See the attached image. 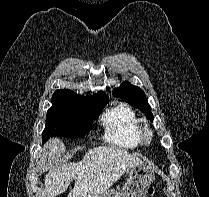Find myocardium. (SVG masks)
Here are the masks:
<instances>
[{"label": "myocardium", "mask_w": 209, "mask_h": 197, "mask_svg": "<svg viewBox=\"0 0 209 197\" xmlns=\"http://www.w3.org/2000/svg\"><path fill=\"white\" fill-rule=\"evenodd\" d=\"M153 139V131L147 124L139 126V140L141 143L149 144Z\"/></svg>", "instance_id": "myocardium-1"}]
</instances>
